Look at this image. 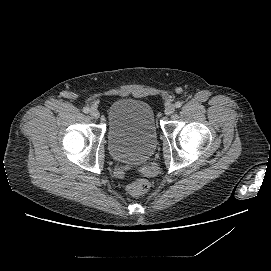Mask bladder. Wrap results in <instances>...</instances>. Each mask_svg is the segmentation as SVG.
Masks as SVG:
<instances>
[{
    "label": "bladder",
    "mask_w": 271,
    "mask_h": 271,
    "mask_svg": "<svg viewBox=\"0 0 271 271\" xmlns=\"http://www.w3.org/2000/svg\"><path fill=\"white\" fill-rule=\"evenodd\" d=\"M157 145V131L151 106L136 99H120L108 109V148L118 162H146Z\"/></svg>",
    "instance_id": "bladder-1"
}]
</instances>
